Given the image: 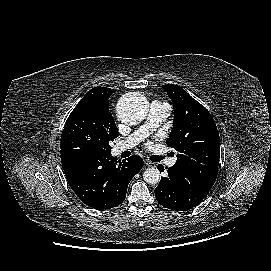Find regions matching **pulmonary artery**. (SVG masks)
<instances>
[{"label": "pulmonary artery", "mask_w": 271, "mask_h": 271, "mask_svg": "<svg viewBox=\"0 0 271 271\" xmlns=\"http://www.w3.org/2000/svg\"><path fill=\"white\" fill-rule=\"evenodd\" d=\"M171 113V106L168 103L161 101H153L150 105L147 121L138 130L129 135L115 145L114 151L119 154L125 150L131 149L144 140L152 131L159 127ZM176 163V158H171L168 166H173Z\"/></svg>", "instance_id": "1"}]
</instances>
